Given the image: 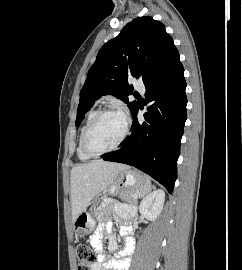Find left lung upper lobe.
<instances>
[{"mask_svg":"<svg viewBox=\"0 0 242 270\" xmlns=\"http://www.w3.org/2000/svg\"><path fill=\"white\" fill-rule=\"evenodd\" d=\"M178 56V50L161 22L144 16L128 23L117 37L103 45L88 71L80 92L76 126L80 125L95 100L106 94L123 100L133 114L138 105L128 101V95L133 91L128 78H142L145 83Z\"/></svg>","mask_w":242,"mask_h":270,"instance_id":"5c2ea615","label":"left lung upper lobe"}]
</instances>
